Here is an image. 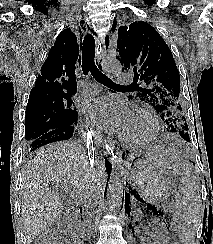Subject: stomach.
<instances>
[{
	"mask_svg": "<svg viewBox=\"0 0 213 244\" xmlns=\"http://www.w3.org/2000/svg\"><path fill=\"white\" fill-rule=\"evenodd\" d=\"M163 159L157 149H136L129 158V179L138 194L150 204L168 199L176 188L163 166Z\"/></svg>",
	"mask_w": 213,
	"mask_h": 244,
	"instance_id": "0dacf381",
	"label": "stomach"
}]
</instances>
